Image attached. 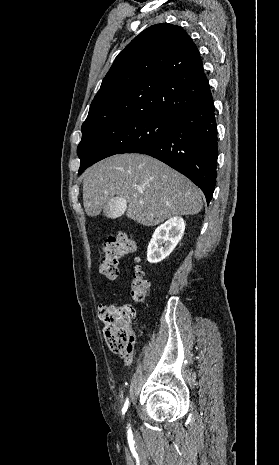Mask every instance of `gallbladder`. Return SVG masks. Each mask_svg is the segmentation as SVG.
<instances>
[{
    "mask_svg": "<svg viewBox=\"0 0 279 465\" xmlns=\"http://www.w3.org/2000/svg\"><path fill=\"white\" fill-rule=\"evenodd\" d=\"M126 208V201L121 197L110 199L104 206V215L110 219L121 217Z\"/></svg>",
    "mask_w": 279,
    "mask_h": 465,
    "instance_id": "obj_1",
    "label": "gallbladder"
}]
</instances>
